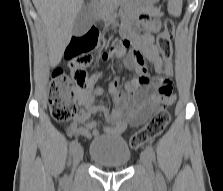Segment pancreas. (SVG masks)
<instances>
[{"label": "pancreas", "instance_id": "cf45deb5", "mask_svg": "<svg viewBox=\"0 0 223 191\" xmlns=\"http://www.w3.org/2000/svg\"><path fill=\"white\" fill-rule=\"evenodd\" d=\"M121 0H100L95 6V13L98 14L105 22L111 20L117 6Z\"/></svg>", "mask_w": 223, "mask_h": 191}]
</instances>
